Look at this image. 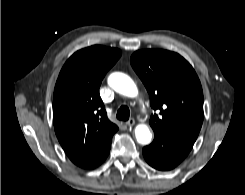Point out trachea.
<instances>
[{
	"mask_svg": "<svg viewBox=\"0 0 245 195\" xmlns=\"http://www.w3.org/2000/svg\"><path fill=\"white\" fill-rule=\"evenodd\" d=\"M130 116V110L127 106H121L117 111V119L127 121Z\"/></svg>",
	"mask_w": 245,
	"mask_h": 195,
	"instance_id": "1",
	"label": "trachea"
}]
</instances>
